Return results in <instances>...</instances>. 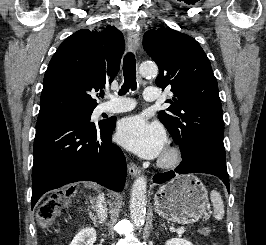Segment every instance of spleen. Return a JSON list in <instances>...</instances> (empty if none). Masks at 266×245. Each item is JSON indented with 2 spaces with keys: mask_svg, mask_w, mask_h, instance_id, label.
<instances>
[{
  "mask_svg": "<svg viewBox=\"0 0 266 245\" xmlns=\"http://www.w3.org/2000/svg\"><path fill=\"white\" fill-rule=\"evenodd\" d=\"M210 199L214 209V219L221 221V219H224V203L220 193H218V191H211Z\"/></svg>",
  "mask_w": 266,
  "mask_h": 245,
  "instance_id": "1",
  "label": "spleen"
}]
</instances>
